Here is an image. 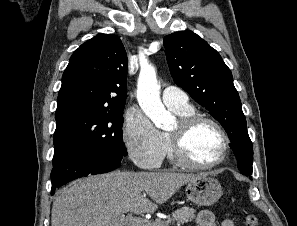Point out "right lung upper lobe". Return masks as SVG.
<instances>
[{"label":"right lung upper lobe","instance_id":"right-lung-upper-lobe-1","mask_svg":"<svg viewBox=\"0 0 297 226\" xmlns=\"http://www.w3.org/2000/svg\"><path fill=\"white\" fill-rule=\"evenodd\" d=\"M127 54L114 34H99L72 54L58 94L56 120L82 112L123 111Z\"/></svg>","mask_w":297,"mask_h":226}]
</instances>
